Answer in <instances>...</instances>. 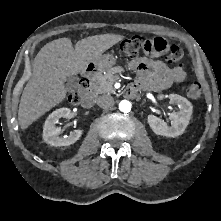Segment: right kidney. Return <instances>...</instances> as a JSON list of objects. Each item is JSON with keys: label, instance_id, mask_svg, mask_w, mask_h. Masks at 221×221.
Here are the masks:
<instances>
[{"label": "right kidney", "instance_id": "1", "mask_svg": "<svg viewBox=\"0 0 221 221\" xmlns=\"http://www.w3.org/2000/svg\"><path fill=\"white\" fill-rule=\"evenodd\" d=\"M71 110L69 108H60L52 112L43 127V139L52 146H69L74 144L82 135L83 130H74L68 136L60 137L61 128L56 127L60 118H70Z\"/></svg>", "mask_w": 221, "mask_h": 221}]
</instances>
